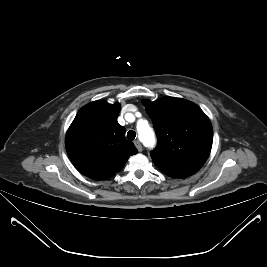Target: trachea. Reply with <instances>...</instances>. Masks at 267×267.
<instances>
[{"label": "trachea", "instance_id": "1", "mask_svg": "<svg viewBox=\"0 0 267 267\" xmlns=\"http://www.w3.org/2000/svg\"><path fill=\"white\" fill-rule=\"evenodd\" d=\"M135 137H136V132L135 131L130 130V131L127 132V139L128 140L132 141V140L135 139Z\"/></svg>", "mask_w": 267, "mask_h": 267}]
</instances>
